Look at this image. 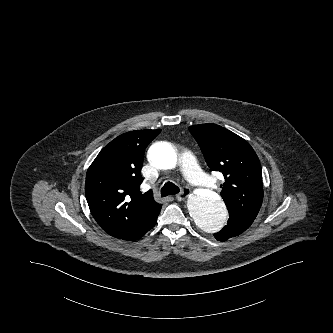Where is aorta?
Segmentation results:
<instances>
[{
	"instance_id": "1",
	"label": "aorta",
	"mask_w": 333,
	"mask_h": 333,
	"mask_svg": "<svg viewBox=\"0 0 333 333\" xmlns=\"http://www.w3.org/2000/svg\"><path fill=\"white\" fill-rule=\"evenodd\" d=\"M148 159L158 169H172L177 164L176 152L166 142L152 145L148 152ZM187 208L196 225L208 233L220 231L228 219L223 200L210 190L191 195L187 201Z\"/></svg>"
}]
</instances>
